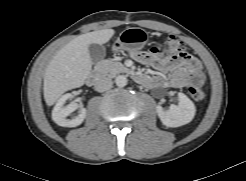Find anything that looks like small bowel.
Returning <instances> with one entry per match:
<instances>
[{"mask_svg":"<svg viewBox=\"0 0 246 181\" xmlns=\"http://www.w3.org/2000/svg\"><path fill=\"white\" fill-rule=\"evenodd\" d=\"M131 56L139 63L156 68L157 70L168 73L164 76H146L145 85L150 88H183L190 85H201L193 77L192 65L198 60L187 52H180L171 56H160L155 52L133 51Z\"/></svg>","mask_w":246,"mask_h":181,"instance_id":"c3829d8e","label":"small bowel"}]
</instances>
